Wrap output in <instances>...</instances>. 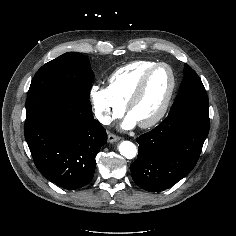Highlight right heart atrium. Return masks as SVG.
<instances>
[{"instance_id": "right-heart-atrium-1", "label": "right heart atrium", "mask_w": 236, "mask_h": 236, "mask_svg": "<svg viewBox=\"0 0 236 236\" xmlns=\"http://www.w3.org/2000/svg\"><path fill=\"white\" fill-rule=\"evenodd\" d=\"M90 97L95 117L103 125H109L124 112V105L112 95L108 87L92 86Z\"/></svg>"}]
</instances>
